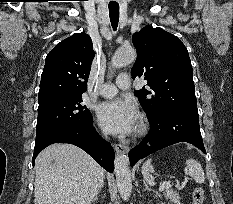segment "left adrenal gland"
Instances as JSON below:
<instances>
[{"label": "left adrenal gland", "mask_w": 233, "mask_h": 204, "mask_svg": "<svg viewBox=\"0 0 233 204\" xmlns=\"http://www.w3.org/2000/svg\"><path fill=\"white\" fill-rule=\"evenodd\" d=\"M144 185H145V190L150 191L151 189L148 187V185L145 183V181H143ZM157 195V194H156Z\"/></svg>", "instance_id": "1"}]
</instances>
